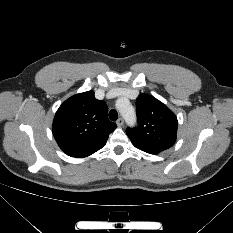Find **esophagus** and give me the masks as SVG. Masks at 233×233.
Segmentation results:
<instances>
[{
  "instance_id": "obj_1",
  "label": "esophagus",
  "mask_w": 233,
  "mask_h": 233,
  "mask_svg": "<svg viewBox=\"0 0 233 233\" xmlns=\"http://www.w3.org/2000/svg\"><path fill=\"white\" fill-rule=\"evenodd\" d=\"M116 124H117L118 127H122V126L124 125V120H123V118H119V119L117 120Z\"/></svg>"
}]
</instances>
